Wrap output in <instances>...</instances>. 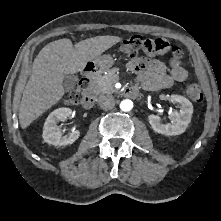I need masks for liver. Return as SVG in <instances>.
Listing matches in <instances>:
<instances>
[{"label":"liver","instance_id":"1","mask_svg":"<svg viewBox=\"0 0 221 221\" xmlns=\"http://www.w3.org/2000/svg\"><path fill=\"white\" fill-rule=\"evenodd\" d=\"M119 41L117 36H96L73 46L70 39L63 38L43 47L33 62L32 73L21 99V127L27 128L62 99L65 74L81 72L87 62L98 58Z\"/></svg>","mask_w":221,"mask_h":221}]
</instances>
